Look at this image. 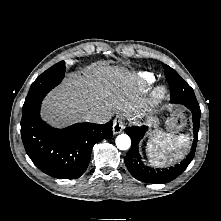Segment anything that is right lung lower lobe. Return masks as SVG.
Listing matches in <instances>:
<instances>
[{"mask_svg": "<svg viewBox=\"0 0 221 221\" xmlns=\"http://www.w3.org/2000/svg\"><path fill=\"white\" fill-rule=\"evenodd\" d=\"M40 106L22 116L21 137L27 155L41 171L52 177L79 178L88 167L93 145L112 137V121L55 129L40 118Z\"/></svg>", "mask_w": 221, "mask_h": 221, "instance_id": "98d812e1", "label": "right lung lower lobe"}]
</instances>
